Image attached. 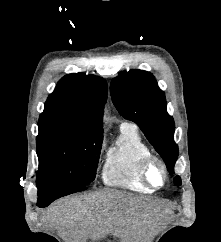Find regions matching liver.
Instances as JSON below:
<instances>
[{"instance_id": "liver-1", "label": "liver", "mask_w": 221, "mask_h": 242, "mask_svg": "<svg viewBox=\"0 0 221 242\" xmlns=\"http://www.w3.org/2000/svg\"><path fill=\"white\" fill-rule=\"evenodd\" d=\"M159 210L155 200L104 190L56 201L44 221L58 229L65 242H95L108 234L120 242H140Z\"/></svg>"}]
</instances>
